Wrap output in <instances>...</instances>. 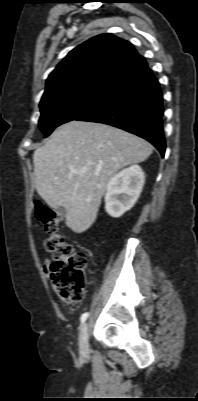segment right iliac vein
Wrapping results in <instances>:
<instances>
[{"label":"right iliac vein","mask_w":198,"mask_h":401,"mask_svg":"<svg viewBox=\"0 0 198 401\" xmlns=\"http://www.w3.org/2000/svg\"><path fill=\"white\" fill-rule=\"evenodd\" d=\"M88 324L84 323L79 332V349L82 356L88 354Z\"/></svg>","instance_id":"1"}]
</instances>
